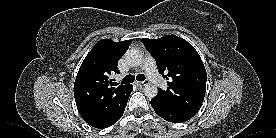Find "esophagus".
Returning <instances> with one entry per match:
<instances>
[{
	"label": "esophagus",
	"mask_w": 276,
	"mask_h": 138,
	"mask_svg": "<svg viewBox=\"0 0 276 138\" xmlns=\"http://www.w3.org/2000/svg\"><path fill=\"white\" fill-rule=\"evenodd\" d=\"M136 84L140 87H144L146 85H148V82L147 81H143V82H136Z\"/></svg>",
	"instance_id": "esophagus-1"
}]
</instances>
